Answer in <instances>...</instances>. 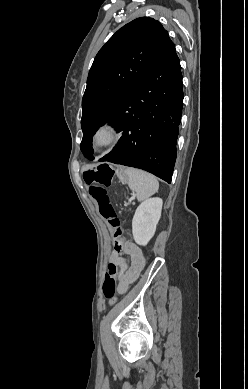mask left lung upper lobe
I'll return each instance as SVG.
<instances>
[{
  "label": "left lung upper lobe",
  "mask_w": 248,
  "mask_h": 389,
  "mask_svg": "<svg viewBox=\"0 0 248 389\" xmlns=\"http://www.w3.org/2000/svg\"><path fill=\"white\" fill-rule=\"evenodd\" d=\"M167 31L153 18H137L120 28L100 49L82 99L80 149L94 159L92 137L114 114L155 62L172 45Z\"/></svg>",
  "instance_id": "obj_1"
}]
</instances>
